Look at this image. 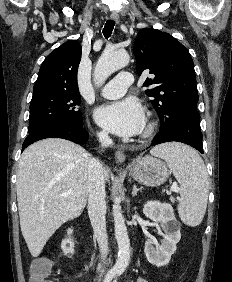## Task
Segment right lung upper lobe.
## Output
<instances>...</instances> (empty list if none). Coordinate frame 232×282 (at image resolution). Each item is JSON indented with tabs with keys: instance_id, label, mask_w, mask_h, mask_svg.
Masks as SVG:
<instances>
[{
	"instance_id": "1",
	"label": "right lung upper lobe",
	"mask_w": 232,
	"mask_h": 282,
	"mask_svg": "<svg viewBox=\"0 0 232 282\" xmlns=\"http://www.w3.org/2000/svg\"><path fill=\"white\" fill-rule=\"evenodd\" d=\"M81 51L82 47L77 40L65 42L53 50L40 67L33 92L78 91L77 70L81 60Z\"/></svg>"
}]
</instances>
